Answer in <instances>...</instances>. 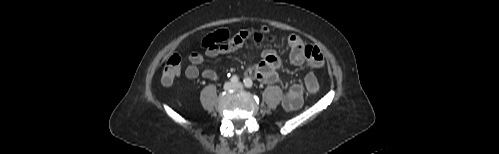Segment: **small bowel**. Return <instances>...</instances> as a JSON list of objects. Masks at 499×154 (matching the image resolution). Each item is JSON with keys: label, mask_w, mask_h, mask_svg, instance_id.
Segmentation results:
<instances>
[{"label": "small bowel", "mask_w": 499, "mask_h": 154, "mask_svg": "<svg viewBox=\"0 0 499 154\" xmlns=\"http://www.w3.org/2000/svg\"><path fill=\"white\" fill-rule=\"evenodd\" d=\"M273 36L266 28H247L237 34L230 36L226 29H221L207 35L202 41L204 54L206 57L213 58L224 53L237 52L242 46L249 42L260 44L264 41H273ZM290 48V61L294 65L308 64L313 68H322L324 66V57L321 51L312 44H307L297 35H289L280 39ZM190 64L185 70V75L189 79H196L200 75L211 81L218 79V74L212 69H205L202 72L199 66L204 61L201 53L194 52L189 57ZM281 65V59L275 50L267 48L262 53V58L258 62L249 63L246 75L253 77L264 83H274L278 80V69ZM303 103V87L296 83L287 90L282 104L288 111H294L301 107Z\"/></svg>", "instance_id": "1"}]
</instances>
